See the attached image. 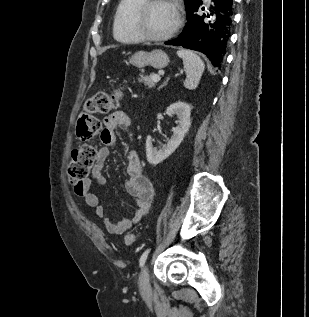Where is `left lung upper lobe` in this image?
<instances>
[{"label":"left lung upper lobe","mask_w":309,"mask_h":317,"mask_svg":"<svg viewBox=\"0 0 309 317\" xmlns=\"http://www.w3.org/2000/svg\"><path fill=\"white\" fill-rule=\"evenodd\" d=\"M186 11L196 7L202 0H184Z\"/></svg>","instance_id":"5c2ea615"}]
</instances>
